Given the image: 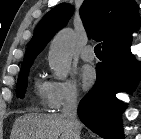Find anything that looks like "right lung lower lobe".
<instances>
[{
	"mask_svg": "<svg viewBox=\"0 0 141 139\" xmlns=\"http://www.w3.org/2000/svg\"><path fill=\"white\" fill-rule=\"evenodd\" d=\"M130 46L131 36L103 48L96 82L79 103L80 120L105 139L123 138L121 115L126 105L116 93L131 92L141 78V62H136Z\"/></svg>",
	"mask_w": 141,
	"mask_h": 139,
	"instance_id": "obj_1",
	"label": "right lung lower lobe"
}]
</instances>
